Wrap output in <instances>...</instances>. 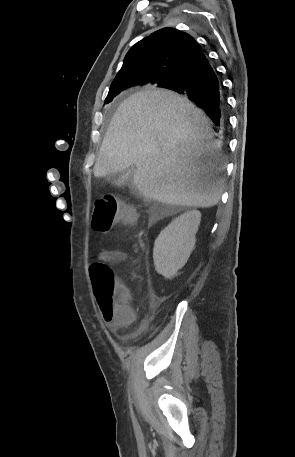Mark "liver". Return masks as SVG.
I'll list each match as a JSON object with an SVG mask.
<instances>
[{"instance_id": "liver-1", "label": "liver", "mask_w": 295, "mask_h": 457, "mask_svg": "<svg viewBox=\"0 0 295 457\" xmlns=\"http://www.w3.org/2000/svg\"><path fill=\"white\" fill-rule=\"evenodd\" d=\"M213 131L205 113L165 89L125 99L114 113L94 166L97 178L136 166L133 183L163 204L209 208L222 182Z\"/></svg>"}]
</instances>
